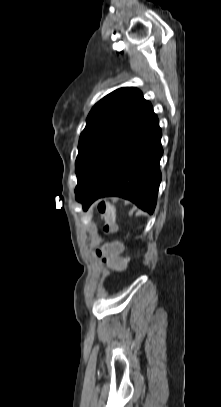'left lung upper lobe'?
Masks as SVG:
<instances>
[{"label":"left lung upper lobe","instance_id":"1","mask_svg":"<svg viewBox=\"0 0 221 407\" xmlns=\"http://www.w3.org/2000/svg\"><path fill=\"white\" fill-rule=\"evenodd\" d=\"M146 102L140 90L124 87L108 94L92 108L79 139L75 193Z\"/></svg>","mask_w":221,"mask_h":407}]
</instances>
